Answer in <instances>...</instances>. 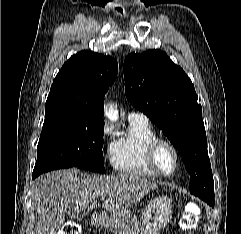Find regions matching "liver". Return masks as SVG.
I'll list each match as a JSON object with an SVG mask.
<instances>
[{"label":"liver","mask_w":241,"mask_h":234,"mask_svg":"<svg viewBox=\"0 0 241 234\" xmlns=\"http://www.w3.org/2000/svg\"><path fill=\"white\" fill-rule=\"evenodd\" d=\"M157 188L150 179L134 174L90 175L78 169L57 170L41 175L32 188L38 213L35 234H59L65 216L97 207L103 201L106 214L116 215L136 205Z\"/></svg>","instance_id":"1"}]
</instances>
